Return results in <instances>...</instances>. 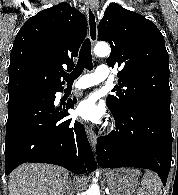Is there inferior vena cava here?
I'll return each mask as SVG.
<instances>
[{"label": "inferior vena cava", "mask_w": 178, "mask_h": 195, "mask_svg": "<svg viewBox=\"0 0 178 195\" xmlns=\"http://www.w3.org/2000/svg\"><path fill=\"white\" fill-rule=\"evenodd\" d=\"M72 193H73V191H72V189L71 188H67V195H72Z\"/></svg>", "instance_id": "obj_1"}]
</instances>
